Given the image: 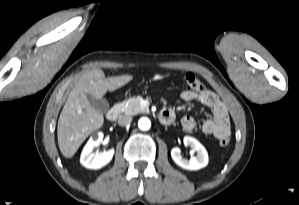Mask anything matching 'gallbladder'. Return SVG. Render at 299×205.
<instances>
[{
	"instance_id": "gallbladder-1",
	"label": "gallbladder",
	"mask_w": 299,
	"mask_h": 205,
	"mask_svg": "<svg viewBox=\"0 0 299 205\" xmlns=\"http://www.w3.org/2000/svg\"><path fill=\"white\" fill-rule=\"evenodd\" d=\"M87 98L90 102V104L98 111H100L101 113H106L109 110V103L106 99L104 98H100L97 99L95 97H93L92 95L88 94Z\"/></svg>"
}]
</instances>
